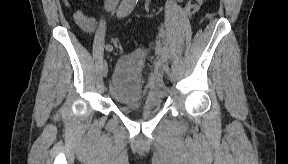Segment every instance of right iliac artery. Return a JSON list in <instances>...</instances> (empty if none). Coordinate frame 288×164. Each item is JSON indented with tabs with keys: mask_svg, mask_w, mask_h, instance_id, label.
Returning <instances> with one entry per match:
<instances>
[{
	"mask_svg": "<svg viewBox=\"0 0 288 164\" xmlns=\"http://www.w3.org/2000/svg\"><path fill=\"white\" fill-rule=\"evenodd\" d=\"M117 15H118V17H124L125 15H126V12H125V10L123 9V7L121 8L120 7V9L118 10V13H117ZM106 50L108 51V52H112L113 51V46L111 45V44H107L106 45Z\"/></svg>",
	"mask_w": 288,
	"mask_h": 164,
	"instance_id": "right-iliac-artery-1",
	"label": "right iliac artery"
}]
</instances>
